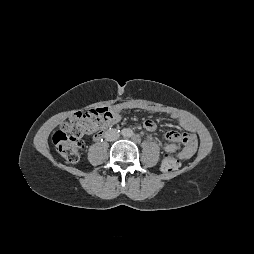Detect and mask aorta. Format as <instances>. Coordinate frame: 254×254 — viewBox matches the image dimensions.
Masks as SVG:
<instances>
[{
	"mask_svg": "<svg viewBox=\"0 0 254 254\" xmlns=\"http://www.w3.org/2000/svg\"><path fill=\"white\" fill-rule=\"evenodd\" d=\"M122 135L124 137H131L133 135V131L130 128H124L122 130Z\"/></svg>",
	"mask_w": 254,
	"mask_h": 254,
	"instance_id": "1",
	"label": "aorta"
}]
</instances>
